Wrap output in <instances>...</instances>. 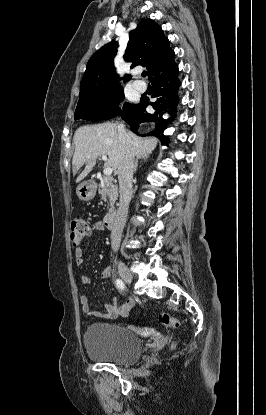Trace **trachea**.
I'll return each mask as SVG.
<instances>
[{"mask_svg":"<svg viewBox=\"0 0 266 415\" xmlns=\"http://www.w3.org/2000/svg\"><path fill=\"white\" fill-rule=\"evenodd\" d=\"M142 76L143 77H146L147 76V72L146 71H143Z\"/></svg>","mask_w":266,"mask_h":415,"instance_id":"obj_1","label":"trachea"}]
</instances>
